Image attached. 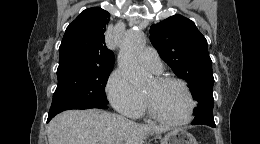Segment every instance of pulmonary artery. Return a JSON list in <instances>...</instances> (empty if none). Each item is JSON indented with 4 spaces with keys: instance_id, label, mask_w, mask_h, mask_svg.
Returning <instances> with one entry per match:
<instances>
[{
    "instance_id": "obj_1",
    "label": "pulmonary artery",
    "mask_w": 260,
    "mask_h": 144,
    "mask_svg": "<svg viewBox=\"0 0 260 144\" xmlns=\"http://www.w3.org/2000/svg\"><path fill=\"white\" fill-rule=\"evenodd\" d=\"M140 63L149 71L153 73H160L162 71V63L157 51L153 48H145L140 57Z\"/></svg>"
}]
</instances>
